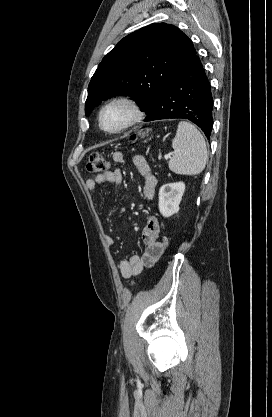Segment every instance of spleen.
<instances>
[{
	"label": "spleen",
	"instance_id": "1",
	"mask_svg": "<svg viewBox=\"0 0 272 417\" xmlns=\"http://www.w3.org/2000/svg\"><path fill=\"white\" fill-rule=\"evenodd\" d=\"M174 154L169 161V169L182 175L201 173L208 159L204 137L198 129L187 121L178 124L172 141Z\"/></svg>",
	"mask_w": 272,
	"mask_h": 417
}]
</instances>
